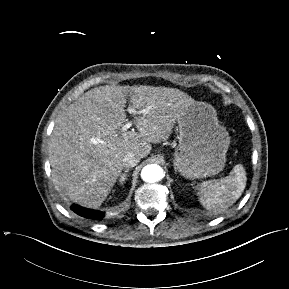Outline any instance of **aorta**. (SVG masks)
I'll return each mask as SVG.
<instances>
[{
    "label": "aorta",
    "mask_w": 289,
    "mask_h": 289,
    "mask_svg": "<svg viewBox=\"0 0 289 289\" xmlns=\"http://www.w3.org/2000/svg\"><path fill=\"white\" fill-rule=\"evenodd\" d=\"M163 177V169L157 164L146 165L141 171V178L148 183L157 182Z\"/></svg>",
    "instance_id": "aorta-1"
}]
</instances>
